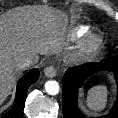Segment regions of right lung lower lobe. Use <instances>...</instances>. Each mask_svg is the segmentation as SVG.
<instances>
[{"label":"right lung lower lobe","mask_w":118,"mask_h":118,"mask_svg":"<svg viewBox=\"0 0 118 118\" xmlns=\"http://www.w3.org/2000/svg\"><path fill=\"white\" fill-rule=\"evenodd\" d=\"M38 77L39 70L33 69L20 79L13 107L2 118H22L28 88L38 80Z\"/></svg>","instance_id":"1"}]
</instances>
